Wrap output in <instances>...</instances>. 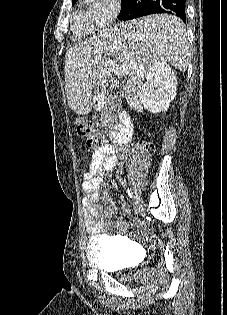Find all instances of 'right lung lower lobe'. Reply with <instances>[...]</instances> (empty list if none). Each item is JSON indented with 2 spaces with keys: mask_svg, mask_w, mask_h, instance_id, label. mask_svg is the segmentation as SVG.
I'll list each match as a JSON object with an SVG mask.
<instances>
[{
  "mask_svg": "<svg viewBox=\"0 0 227 315\" xmlns=\"http://www.w3.org/2000/svg\"><path fill=\"white\" fill-rule=\"evenodd\" d=\"M156 13L173 14L185 22V0H121L118 19L126 21Z\"/></svg>",
  "mask_w": 227,
  "mask_h": 315,
  "instance_id": "right-lung-lower-lobe-1",
  "label": "right lung lower lobe"
}]
</instances>
